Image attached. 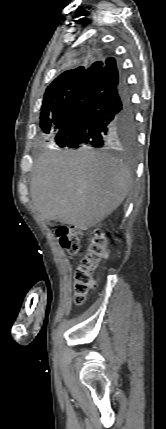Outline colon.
<instances>
[{
  "label": "colon",
  "mask_w": 166,
  "mask_h": 429,
  "mask_svg": "<svg viewBox=\"0 0 166 429\" xmlns=\"http://www.w3.org/2000/svg\"><path fill=\"white\" fill-rule=\"evenodd\" d=\"M56 234L61 247L70 255L77 254L81 249V239L78 230L70 225H58ZM109 255V242L106 234L97 230L91 239L86 254L77 267L74 278V302L84 303L89 292L94 287L93 273L100 263Z\"/></svg>",
  "instance_id": "5ec220e1"
}]
</instances>
